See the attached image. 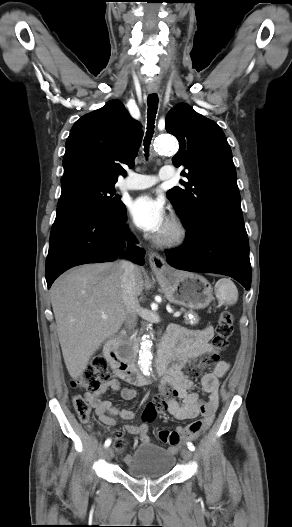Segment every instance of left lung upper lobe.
<instances>
[{
  "label": "left lung upper lobe",
  "instance_id": "5c2ea615",
  "mask_svg": "<svg viewBox=\"0 0 292 527\" xmlns=\"http://www.w3.org/2000/svg\"><path fill=\"white\" fill-rule=\"evenodd\" d=\"M166 130L180 143L172 158L183 188L167 192L186 229L217 218L243 219L232 152L221 128L187 104L174 107L166 116Z\"/></svg>",
  "mask_w": 292,
  "mask_h": 527
}]
</instances>
